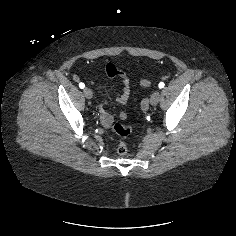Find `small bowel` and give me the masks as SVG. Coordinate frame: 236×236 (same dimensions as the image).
Here are the masks:
<instances>
[{"mask_svg": "<svg viewBox=\"0 0 236 236\" xmlns=\"http://www.w3.org/2000/svg\"><path fill=\"white\" fill-rule=\"evenodd\" d=\"M105 74L108 78L111 79H117L122 82L123 85V90L122 92L116 97V101L120 104H125L128 102L130 99L131 95V88H130V83L129 79L125 76L124 73L120 72L113 64L107 63L105 66ZM103 84L99 86V91L103 89ZM100 120L103 125L109 126L111 125L113 121V115L112 113L108 110L107 105L105 101L102 103L100 107ZM118 117L122 120H125L127 118V114L124 111H119L118 112Z\"/></svg>", "mask_w": 236, "mask_h": 236, "instance_id": "1", "label": "small bowel"}]
</instances>
